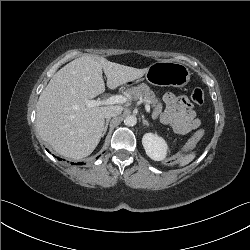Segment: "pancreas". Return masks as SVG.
Returning a JSON list of instances; mask_svg holds the SVG:
<instances>
[{"label": "pancreas", "mask_w": 250, "mask_h": 250, "mask_svg": "<svg viewBox=\"0 0 250 250\" xmlns=\"http://www.w3.org/2000/svg\"><path fill=\"white\" fill-rule=\"evenodd\" d=\"M125 93L129 98L134 100L143 99L151 103L153 106H156L158 101L155 93L145 83L128 88Z\"/></svg>", "instance_id": "cf45deb5"}]
</instances>
